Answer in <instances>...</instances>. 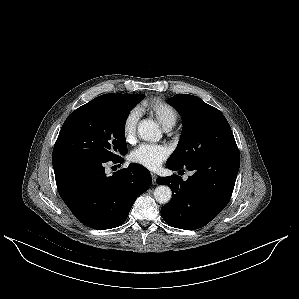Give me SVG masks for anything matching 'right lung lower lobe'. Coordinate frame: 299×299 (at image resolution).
<instances>
[{
    "mask_svg": "<svg viewBox=\"0 0 299 299\" xmlns=\"http://www.w3.org/2000/svg\"><path fill=\"white\" fill-rule=\"evenodd\" d=\"M122 163L118 157L111 160ZM106 160L70 149L53 150L52 163L58 192L73 215L84 225L111 229L123 224L136 198L151 185L149 171L130 164L112 176Z\"/></svg>",
    "mask_w": 299,
    "mask_h": 299,
    "instance_id": "1",
    "label": "right lung lower lobe"
}]
</instances>
